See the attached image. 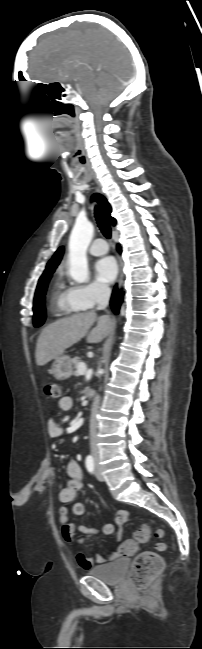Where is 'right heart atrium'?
<instances>
[{"instance_id": "right-heart-atrium-1", "label": "right heart atrium", "mask_w": 202, "mask_h": 649, "mask_svg": "<svg viewBox=\"0 0 202 649\" xmlns=\"http://www.w3.org/2000/svg\"><path fill=\"white\" fill-rule=\"evenodd\" d=\"M109 295L107 285L99 282H91L72 288L71 300L80 309H90Z\"/></svg>"}]
</instances>
